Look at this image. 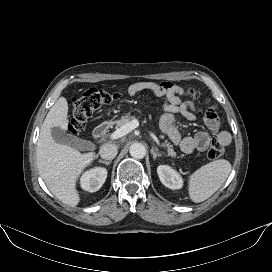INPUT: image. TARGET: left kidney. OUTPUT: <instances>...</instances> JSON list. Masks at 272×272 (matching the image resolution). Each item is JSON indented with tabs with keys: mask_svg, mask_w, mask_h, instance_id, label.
Segmentation results:
<instances>
[{
	"mask_svg": "<svg viewBox=\"0 0 272 272\" xmlns=\"http://www.w3.org/2000/svg\"><path fill=\"white\" fill-rule=\"evenodd\" d=\"M157 173L161 183L172 189H180L183 187V179L181 175L168 165H160L157 168Z\"/></svg>",
	"mask_w": 272,
	"mask_h": 272,
	"instance_id": "left-kidney-1",
	"label": "left kidney"
}]
</instances>
